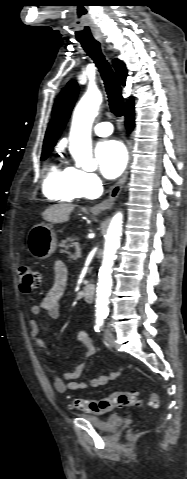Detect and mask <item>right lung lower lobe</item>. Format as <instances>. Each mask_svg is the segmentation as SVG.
Listing matches in <instances>:
<instances>
[{"instance_id":"98d812e1","label":"right lung lower lobe","mask_w":187,"mask_h":479,"mask_svg":"<svg viewBox=\"0 0 187 479\" xmlns=\"http://www.w3.org/2000/svg\"><path fill=\"white\" fill-rule=\"evenodd\" d=\"M134 106L126 109V126L129 131L134 127Z\"/></svg>"}]
</instances>
